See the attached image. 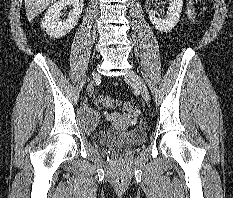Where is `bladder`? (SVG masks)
<instances>
[{"label":"bladder","instance_id":"bladder-1","mask_svg":"<svg viewBox=\"0 0 233 198\" xmlns=\"http://www.w3.org/2000/svg\"><path fill=\"white\" fill-rule=\"evenodd\" d=\"M100 120L98 111L89 109L82 115V122L85 128L93 130ZM147 138L146 132L141 128H133L126 131H109L101 137V141L111 147H131L143 143Z\"/></svg>","mask_w":233,"mask_h":198}]
</instances>
